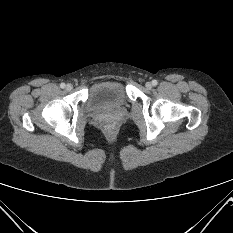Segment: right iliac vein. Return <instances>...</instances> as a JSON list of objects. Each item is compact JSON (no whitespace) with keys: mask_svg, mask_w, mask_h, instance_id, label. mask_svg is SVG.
<instances>
[{"mask_svg":"<svg viewBox=\"0 0 233 233\" xmlns=\"http://www.w3.org/2000/svg\"><path fill=\"white\" fill-rule=\"evenodd\" d=\"M72 89H73L72 84H67V85H66V90H67V91H71Z\"/></svg>","mask_w":233,"mask_h":233,"instance_id":"1","label":"right iliac vein"}]
</instances>
